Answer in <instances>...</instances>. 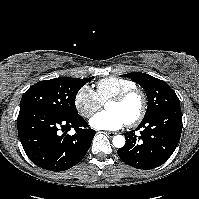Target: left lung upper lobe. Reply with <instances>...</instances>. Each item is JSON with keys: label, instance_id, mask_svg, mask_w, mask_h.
<instances>
[{"label": "left lung upper lobe", "instance_id": "left-lung-upper-lobe-1", "mask_svg": "<svg viewBox=\"0 0 199 199\" xmlns=\"http://www.w3.org/2000/svg\"><path fill=\"white\" fill-rule=\"evenodd\" d=\"M121 76L137 82L145 90L148 97V108L144 119L168 107L180 105V100L175 92L160 79L141 72H132Z\"/></svg>", "mask_w": 199, "mask_h": 199}]
</instances>
